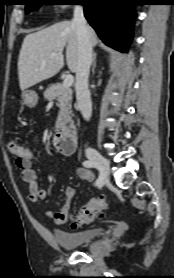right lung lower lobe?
<instances>
[{
  "label": "right lung lower lobe",
  "mask_w": 174,
  "mask_h": 278,
  "mask_svg": "<svg viewBox=\"0 0 174 278\" xmlns=\"http://www.w3.org/2000/svg\"><path fill=\"white\" fill-rule=\"evenodd\" d=\"M84 15L102 41L126 52L132 40L133 0H79Z\"/></svg>",
  "instance_id": "98d812e1"
}]
</instances>
